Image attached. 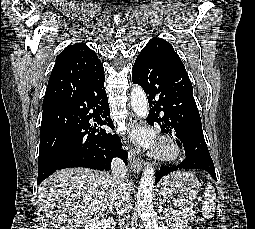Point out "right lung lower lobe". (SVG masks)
Returning a JSON list of instances; mask_svg holds the SVG:
<instances>
[{"mask_svg": "<svg viewBox=\"0 0 255 229\" xmlns=\"http://www.w3.org/2000/svg\"><path fill=\"white\" fill-rule=\"evenodd\" d=\"M104 81V69L101 67L81 83L71 98L43 107L41 128L48 121L62 117L72 118L73 125L56 163L51 167L39 164L37 184L63 168L110 170L113 157L126 161V152L120 150L118 137L108 133L103 127L114 128L109 117Z\"/></svg>", "mask_w": 255, "mask_h": 229, "instance_id": "98d812e1", "label": "right lung lower lobe"}]
</instances>
